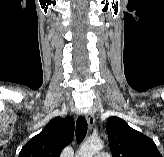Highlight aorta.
Instances as JSON below:
<instances>
[{
    "label": "aorta",
    "mask_w": 164,
    "mask_h": 157,
    "mask_svg": "<svg viewBox=\"0 0 164 157\" xmlns=\"http://www.w3.org/2000/svg\"><path fill=\"white\" fill-rule=\"evenodd\" d=\"M103 148V142L100 140H89L83 143L77 153V157H93Z\"/></svg>",
    "instance_id": "762f6f07"
}]
</instances>
